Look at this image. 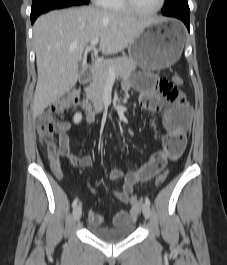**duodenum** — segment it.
Listing matches in <instances>:
<instances>
[{
	"label": "duodenum",
	"instance_id": "410a0bca",
	"mask_svg": "<svg viewBox=\"0 0 227 265\" xmlns=\"http://www.w3.org/2000/svg\"><path fill=\"white\" fill-rule=\"evenodd\" d=\"M92 70L93 68L91 66H87L81 77H80V81L82 83H87L90 80L91 74H92ZM81 104L83 106V108L89 113V114H95L97 112V110L95 109V107L91 104V102L87 99V98H83L81 101Z\"/></svg>",
	"mask_w": 227,
	"mask_h": 265
}]
</instances>
